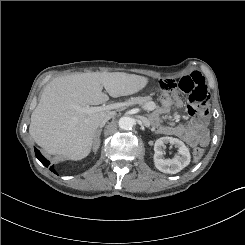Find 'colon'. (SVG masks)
<instances>
[{"label":"colon","instance_id":"obj_1","mask_svg":"<svg viewBox=\"0 0 245 245\" xmlns=\"http://www.w3.org/2000/svg\"><path fill=\"white\" fill-rule=\"evenodd\" d=\"M157 90H158V94H159V98H160L161 103H162L164 106L170 105L171 102H172V98H171L170 93H171L172 91H163V90L160 89L159 87H158ZM203 155H204V150H203L202 148L197 147V148H195V149L193 150V159H194L195 161L201 160L202 157H203Z\"/></svg>","mask_w":245,"mask_h":245}]
</instances>
